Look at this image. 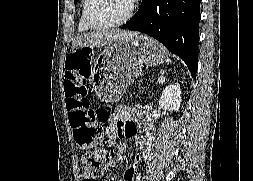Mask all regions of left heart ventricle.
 Listing matches in <instances>:
<instances>
[{
  "label": "left heart ventricle",
  "instance_id": "b2bd125f",
  "mask_svg": "<svg viewBox=\"0 0 253 181\" xmlns=\"http://www.w3.org/2000/svg\"><path fill=\"white\" fill-rule=\"evenodd\" d=\"M132 0H95L91 16L97 23H113L128 13Z\"/></svg>",
  "mask_w": 253,
  "mask_h": 181
}]
</instances>
